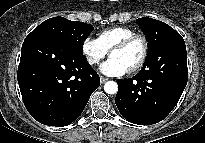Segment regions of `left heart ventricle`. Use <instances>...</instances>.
<instances>
[{
	"label": "left heart ventricle",
	"instance_id": "1",
	"mask_svg": "<svg viewBox=\"0 0 205 143\" xmlns=\"http://www.w3.org/2000/svg\"><path fill=\"white\" fill-rule=\"evenodd\" d=\"M142 54V44L140 41L133 42L123 50L114 51L111 57L119 60L128 69H130L140 59Z\"/></svg>",
	"mask_w": 205,
	"mask_h": 143
}]
</instances>
